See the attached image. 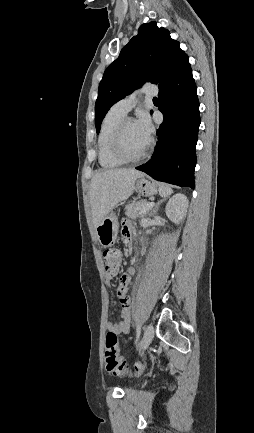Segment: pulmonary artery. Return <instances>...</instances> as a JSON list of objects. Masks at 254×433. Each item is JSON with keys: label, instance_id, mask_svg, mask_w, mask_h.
<instances>
[{"label": "pulmonary artery", "instance_id": "1", "mask_svg": "<svg viewBox=\"0 0 254 433\" xmlns=\"http://www.w3.org/2000/svg\"><path fill=\"white\" fill-rule=\"evenodd\" d=\"M141 91L149 96L156 95L158 93L157 88L153 85H145ZM136 100L137 93L135 92L116 102L112 106L111 110L126 115L135 106Z\"/></svg>", "mask_w": 254, "mask_h": 433}]
</instances>
